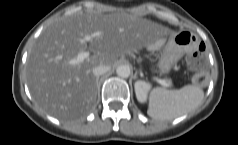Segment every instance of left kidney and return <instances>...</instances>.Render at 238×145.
<instances>
[{"label":"left kidney","mask_w":238,"mask_h":145,"mask_svg":"<svg viewBox=\"0 0 238 145\" xmlns=\"http://www.w3.org/2000/svg\"><path fill=\"white\" fill-rule=\"evenodd\" d=\"M137 100L141 103L146 102L150 84L145 81H137L134 85Z\"/></svg>","instance_id":"1"}]
</instances>
